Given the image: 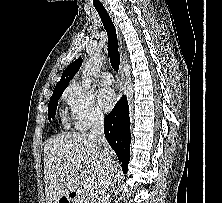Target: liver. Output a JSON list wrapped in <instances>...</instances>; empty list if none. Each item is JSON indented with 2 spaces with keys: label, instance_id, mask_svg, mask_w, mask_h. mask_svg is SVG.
<instances>
[{
  "label": "liver",
  "instance_id": "6515ba94",
  "mask_svg": "<svg viewBox=\"0 0 222 203\" xmlns=\"http://www.w3.org/2000/svg\"><path fill=\"white\" fill-rule=\"evenodd\" d=\"M103 146L85 132L58 135L44 145V182L46 203H57L77 189L82 181L95 186L105 168ZM114 162V152L107 147ZM81 167V171L77 168Z\"/></svg>",
  "mask_w": 222,
  "mask_h": 203
}]
</instances>
